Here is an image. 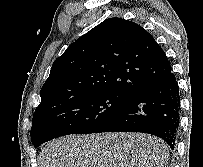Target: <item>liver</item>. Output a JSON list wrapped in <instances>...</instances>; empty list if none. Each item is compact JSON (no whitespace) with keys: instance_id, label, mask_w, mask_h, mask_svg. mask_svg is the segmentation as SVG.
I'll use <instances>...</instances> for the list:
<instances>
[{"instance_id":"6515ba94","label":"liver","mask_w":203,"mask_h":167,"mask_svg":"<svg viewBox=\"0 0 203 167\" xmlns=\"http://www.w3.org/2000/svg\"><path fill=\"white\" fill-rule=\"evenodd\" d=\"M164 141L140 133L69 135L47 143L38 167H164Z\"/></svg>"}]
</instances>
